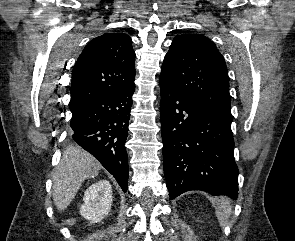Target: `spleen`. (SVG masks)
I'll return each mask as SVG.
<instances>
[{"label": "spleen", "mask_w": 295, "mask_h": 241, "mask_svg": "<svg viewBox=\"0 0 295 241\" xmlns=\"http://www.w3.org/2000/svg\"><path fill=\"white\" fill-rule=\"evenodd\" d=\"M220 207L222 208L223 210V214L224 216L227 218L230 216L231 214V205L230 203L228 202L227 199L225 198H220Z\"/></svg>", "instance_id": "3e777b00"}]
</instances>
